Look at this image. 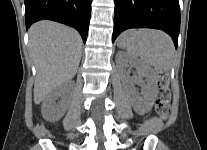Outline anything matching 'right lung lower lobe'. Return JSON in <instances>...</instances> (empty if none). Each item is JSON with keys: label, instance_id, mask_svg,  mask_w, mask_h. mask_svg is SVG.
I'll return each instance as SVG.
<instances>
[{"label": "right lung lower lobe", "instance_id": "1", "mask_svg": "<svg viewBox=\"0 0 207 150\" xmlns=\"http://www.w3.org/2000/svg\"><path fill=\"white\" fill-rule=\"evenodd\" d=\"M92 0H25L28 29L34 22L48 19L74 27L86 42Z\"/></svg>", "mask_w": 207, "mask_h": 150}]
</instances>
